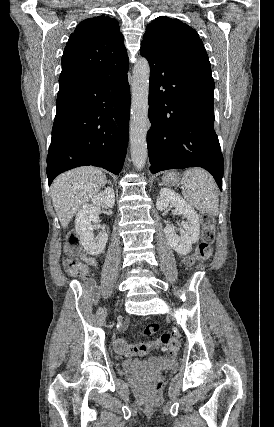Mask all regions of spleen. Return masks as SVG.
Here are the masks:
<instances>
[{
    "label": "spleen",
    "instance_id": "1",
    "mask_svg": "<svg viewBox=\"0 0 274 427\" xmlns=\"http://www.w3.org/2000/svg\"><path fill=\"white\" fill-rule=\"evenodd\" d=\"M185 202L201 214L218 215L217 186L210 174L202 168L186 170L181 180Z\"/></svg>",
    "mask_w": 274,
    "mask_h": 427
}]
</instances>
